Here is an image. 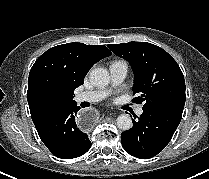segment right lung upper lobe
<instances>
[{"mask_svg":"<svg viewBox=\"0 0 209 179\" xmlns=\"http://www.w3.org/2000/svg\"><path fill=\"white\" fill-rule=\"evenodd\" d=\"M111 54L106 46L84 43L62 44L43 53L28 78L27 100L35 127L75 104L74 90L96 62Z\"/></svg>","mask_w":209,"mask_h":179,"instance_id":"right-lung-upper-lobe-1","label":"right lung upper lobe"}]
</instances>
